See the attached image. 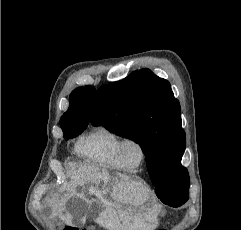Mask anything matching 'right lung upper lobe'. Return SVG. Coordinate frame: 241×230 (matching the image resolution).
I'll use <instances>...</instances> for the list:
<instances>
[{"label": "right lung upper lobe", "instance_id": "obj_1", "mask_svg": "<svg viewBox=\"0 0 241 230\" xmlns=\"http://www.w3.org/2000/svg\"><path fill=\"white\" fill-rule=\"evenodd\" d=\"M94 93V87L84 86L75 89L70 94V107L60 119L62 130L87 127Z\"/></svg>", "mask_w": 241, "mask_h": 230}]
</instances>
